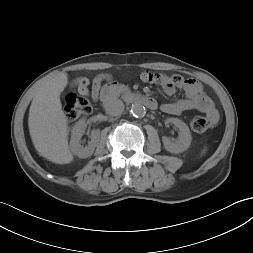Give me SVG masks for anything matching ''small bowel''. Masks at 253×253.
<instances>
[{"instance_id": "1", "label": "small bowel", "mask_w": 253, "mask_h": 253, "mask_svg": "<svg viewBox=\"0 0 253 253\" xmlns=\"http://www.w3.org/2000/svg\"><path fill=\"white\" fill-rule=\"evenodd\" d=\"M144 82L158 83L168 95L181 89L185 93V98L174 102H166L161 105V110L170 115H179L184 111L197 110L204 113L210 125L213 126L218 121V111L205 93L202 84L194 78H184L180 75H167L164 73H152L145 71L140 75ZM107 75H98L90 81L86 77H79L74 81L81 95H90L93 100H97L103 83L109 80Z\"/></svg>"}]
</instances>
